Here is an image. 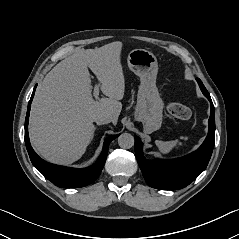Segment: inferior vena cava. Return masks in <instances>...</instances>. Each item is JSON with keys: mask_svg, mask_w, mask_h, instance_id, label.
I'll return each instance as SVG.
<instances>
[{"mask_svg": "<svg viewBox=\"0 0 239 239\" xmlns=\"http://www.w3.org/2000/svg\"><path fill=\"white\" fill-rule=\"evenodd\" d=\"M94 122H96L98 125L108 124L111 122V116L107 113H100L95 116Z\"/></svg>", "mask_w": 239, "mask_h": 239, "instance_id": "obj_1", "label": "inferior vena cava"}]
</instances>
